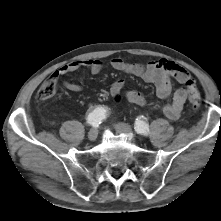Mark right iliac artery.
Instances as JSON below:
<instances>
[{"mask_svg":"<svg viewBox=\"0 0 221 221\" xmlns=\"http://www.w3.org/2000/svg\"><path fill=\"white\" fill-rule=\"evenodd\" d=\"M107 117V110L102 107L94 109L87 117V123L93 127H98Z\"/></svg>","mask_w":221,"mask_h":221,"instance_id":"1","label":"right iliac artery"}]
</instances>
